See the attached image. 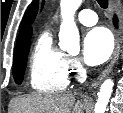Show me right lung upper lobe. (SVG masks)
Listing matches in <instances>:
<instances>
[{
  "label": "right lung upper lobe",
  "mask_w": 123,
  "mask_h": 113,
  "mask_svg": "<svg viewBox=\"0 0 123 113\" xmlns=\"http://www.w3.org/2000/svg\"><path fill=\"white\" fill-rule=\"evenodd\" d=\"M38 10V0H34L27 8L23 20L19 27V35L17 38L16 47L29 41L32 37V23L36 17Z\"/></svg>",
  "instance_id": "obj_1"
}]
</instances>
